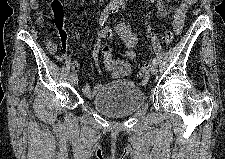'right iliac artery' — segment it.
I'll list each match as a JSON object with an SVG mask.
<instances>
[{"label":"right iliac artery","mask_w":225,"mask_h":159,"mask_svg":"<svg viewBox=\"0 0 225 159\" xmlns=\"http://www.w3.org/2000/svg\"><path fill=\"white\" fill-rule=\"evenodd\" d=\"M115 7L113 6H107L104 11L101 13L100 19H99V24L100 26H103L106 20L108 19L109 15L113 13ZM74 75L73 73L70 74V77Z\"/></svg>","instance_id":"1"}]
</instances>
